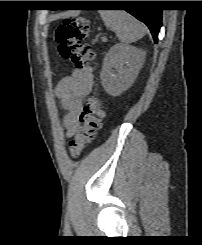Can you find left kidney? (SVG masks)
Masks as SVG:
<instances>
[{"label":"left kidney","mask_w":202,"mask_h":245,"mask_svg":"<svg viewBox=\"0 0 202 245\" xmlns=\"http://www.w3.org/2000/svg\"><path fill=\"white\" fill-rule=\"evenodd\" d=\"M145 52L129 45L116 44L106 54L101 83L111 96H119L134 82L143 65Z\"/></svg>","instance_id":"5707ae66"}]
</instances>
